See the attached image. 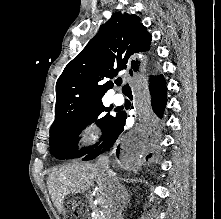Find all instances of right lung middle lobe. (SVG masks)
<instances>
[{
    "instance_id": "right-lung-middle-lobe-1",
    "label": "right lung middle lobe",
    "mask_w": 221,
    "mask_h": 219,
    "mask_svg": "<svg viewBox=\"0 0 221 219\" xmlns=\"http://www.w3.org/2000/svg\"><path fill=\"white\" fill-rule=\"evenodd\" d=\"M111 108L102 101L81 106L53 122L50 128V152L58 159L81 157L95 146L76 151L77 138L87 124L96 122L102 130V138L110 130L116 115H111Z\"/></svg>"
}]
</instances>
